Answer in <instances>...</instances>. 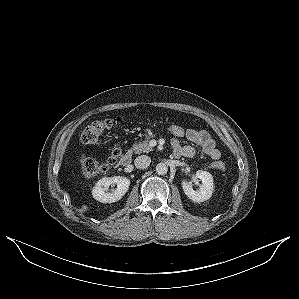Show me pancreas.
Segmentation results:
<instances>
[{
  "mask_svg": "<svg viewBox=\"0 0 299 299\" xmlns=\"http://www.w3.org/2000/svg\"><path fill=\"white\" fill-rule=\"evenodd\" d=\"M129 151L131 153L134 152L135 154L148 153L152 151V147L149 145V141L145 139L142 142L134 144Z\"/></svg>",
  "mask_w": 299,
  "mask_h": 299,
  "instance_id": "1",
  "label": "pancreas"
}]
</instances>
